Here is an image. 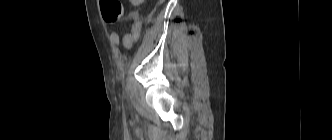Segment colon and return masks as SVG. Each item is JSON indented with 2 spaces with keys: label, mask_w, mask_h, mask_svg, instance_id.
<instances>
[{
  "label": "colon",
  "mask_w": 332,
  "mask_h": 140,
  "mask_svg": "<svg viewBox=\"0 0 332 140\" xmlns=\"http://www.w3.org/2000/svg\"><path fill=\"white\" fill-rule=\"evenodd\" d=\"M100 7L107 23H116L122 18L123 5L120 0H100Z\"/></svg>",
  "instance_id": "5ec220e1"
}]
</instances>
